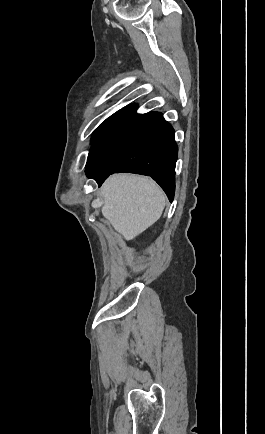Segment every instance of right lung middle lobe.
<instances>
[{
  "label": "right lung middle lobe",
  "instance_id": "1",
  "mask_svg": "<svg viewBox=\"0 0 265 434\" xmlns=\"http://www.w3.org/2000/svg\"><path fill=\"white\" fill-rule=\"evenodd\" d=\"M103 123L94 131L92 138H91V141H93V142L95 141V139L97 138V136L99 135V133L101 131Z\"/></svg>",
  "mask_w": 265,
  "mask_h": 434
}]
</instances>
